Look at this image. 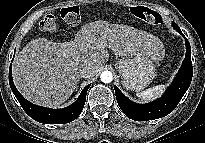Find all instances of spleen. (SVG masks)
<instances>
[{
  "mask_svg": "<svg viewBox=\"0 0 205 143\" xmlns=\"http://www.w3.org/2000/svg\"><path fill=\"white\" fill-rule=\"evenodd\" d=\"M167 85L161 84L154 86L152 88H148L142 92L137 93V97L140 98L143 101H152L158 97H160L164 91L166 90Z\"/></svg>",
  "mask_w": 205,
  "mask_h": 143,
  "instance_id": "obj_1",
  "label": "spleen"
}]
</instances>
